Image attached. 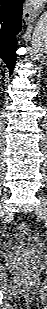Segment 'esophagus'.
Masks as SVG:
<instances>
[{"instance_id":"esophagus-1","label":"esophagus","mask_w":47,"mask_h":309,"mask_svg":"<svg viewBox=\"0 0 47 309\" xmlns=\"http://www.w3.org/2000/svg\"><path fill=\"white\" fill-rule=\"evenodd\" d=\"M36 16H37L36 12L32 10V7L28 3L26 7H24V10H23V18L25 22L29 23V22L34 21Z\"/></svg>"}]
</instances>
